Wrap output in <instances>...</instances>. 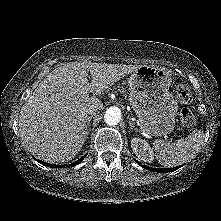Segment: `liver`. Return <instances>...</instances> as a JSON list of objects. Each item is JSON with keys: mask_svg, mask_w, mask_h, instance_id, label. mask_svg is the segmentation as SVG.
Here are the masks:
<instances>
[{"mask_svg": "<svg viewBox=\"0 0 221 221\" xmlns=\"http://www.w3.org/2000/svg\"><path fill=\"white\" fill-rule=\"evenodd\" d=\"M140 66L75 61L55 68L21 108L19 132L26 148L49 163L75 158L85 141L87 110L102 108L96 95Z\"/></svg>", "mask_w": 221, "mask_h": 221, "instance_id": "obj_1", "label": "liver"}]
</instances>
